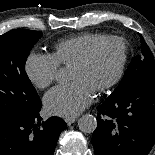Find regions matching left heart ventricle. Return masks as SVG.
<instances>
[{
	"mask_svg": "<svg viewBox=\"0 0 155 155\" xmlns=\"http://www.w3.org/2000/svg\"><path fill=\"white\" fill-rule=\"evenodd\" d=\"M121 45L118 42H107L95 52L91 61L83 67H72L70 79L82 81L94 92L111 80L121 61Z\"/></svg>",
	"mask_w": 155,
	"mask_h": 155,
	"instance_id": "b2bd125f",
	"label": "left heart ventricle"
}]
</instances>
